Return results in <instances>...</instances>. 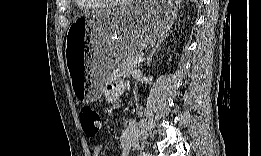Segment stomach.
I'll list each match as a JSON object with an SVG mask.
<instances>
[{
  "mask_svg": "<svg viewBox=\"0 0 261 156\" xmlns=\"http://www.w3.org/2000/svg\"><path fill=\"white\" fill-rule=\"evenodd\" d=\"M176 13L177 4L170 1L129 2L76 19L67 33L65 57L78 101L92 103L99 99L116 61L135 55L160 39ZM86 42L91 59L77 61L74 48Z\"/></svg>",
  "mask_w": 261,
  "mask_h": 156,
  "instance_id": "stomach-1",
  "label": "stomach"
}]
</instances>
